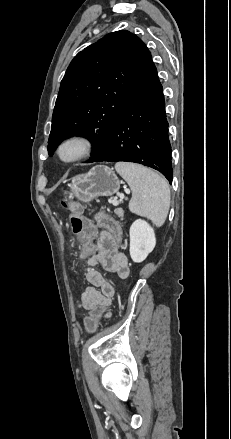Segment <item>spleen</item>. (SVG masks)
<instances>
[{"label":"spleen","instance_id":"spleen-1","mask_svg":"<svg viewBox=\"0 0 231 439\" xmlns=\"http://www.w3.org/2000/svg\"><path fill=\"white\" fill-rule=\"evenodd\" d=\"M116 171L132 190L129 210L150 219L157 227L164 224L170 207V189L158 173L127 162L115 165Z\"/></svg>","mask_w":231,"mask_h":439}]
</instances>
